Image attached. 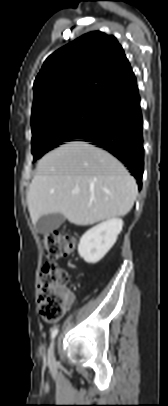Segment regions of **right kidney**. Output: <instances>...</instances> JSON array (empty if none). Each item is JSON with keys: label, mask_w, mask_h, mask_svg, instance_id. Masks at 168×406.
<instances>
[{"label": "right kidney", "mask_w": 168, "mask_h": 406, "mask_svg": "<svg viewBox=\"0 0 168 406\" xmlns=\"http://www.w3.org/2000/svg\"><path fill=\"white\" fill-rule=\"evenodd\" d=\"M122 227V219L111 218L89 229L80 239L79 255L87 263L99 262L115 244Z\"/></svg>", "instance_id": "right-kidney-1"}]
</instances>
